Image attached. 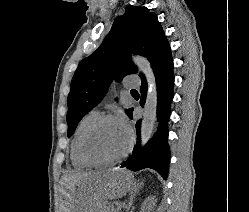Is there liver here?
Masks as SVG:
<instances>
[{
    "instance_id": "1",
    "label": "liver",
    "mask_w": 249,
    "mask_h": 212,
    "mask_svg": "<svg viewBox=\"0 0 249 212\" xmlns=\"http://www.w3.org/2000/svg\"><path fill=\"white\" fill-rule=\"evenodd\" d=\"M69 208L75 210V190L82 182H89L90 188L95 196V202L91 204L92 210H98L104 200H118L126 196L135 186V180L124 168L120 170H107V172H77L68 174Z\"/></svg>"
}]
</instances>
